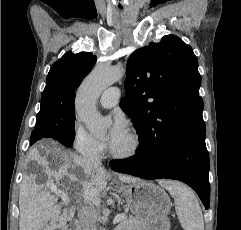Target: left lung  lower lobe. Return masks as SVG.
Listing matches in <instances>:
<instances>
[{
	"label": "left lung lower lobe",
	"mask_w": 241,
	"mask_h": 230,
	"mask_svg": "<svg viewBox=\"0 0 241 230\" xmlns=\"http://www.w3.org/2000/svg\"><path fill=\"white\" fill-rule=\"evenodd\" d=\"M110 167L143 179H175L192 187L206 209L210 203L209 154L204 137L178 136L167 141H139L136 154L113 160Z\"/></svg>",
	"instance_id": "1"
}]
</instances>
